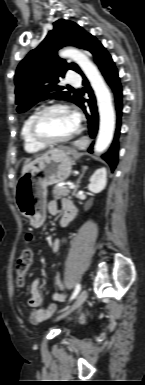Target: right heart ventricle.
<instances>
[{"label": "right heart ventricle", "mask_w": 145, "mask_h": 385, "mask_svg": "<svg viewBox=\"0 0 145 385\" xmlns=\"http://www.w3.org/2000/svg\"><path fill=\"white\" fill-rule=\"evenodd\" d=\"M37 112L38 111L35 110L32 113H30L24 120L21 127L20 135L23 142L24 150L27 153H38L44 149L43 146H40L37 143H35L30 136V126Z\"/></svg>", "instance_id": "e07e8e85"}]
</instances>
